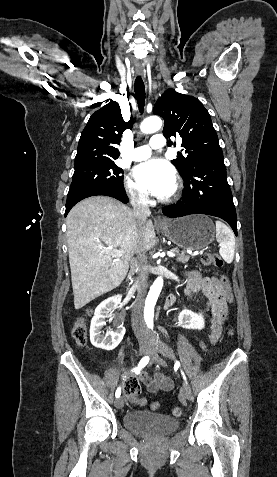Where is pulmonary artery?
Listing matches in <instances>:
<instances>
[{"label": "pulmonary artery", "mask_w": 277, "mask_h": 477, "mask_svg": "<svg viewBox=\"0 0 277 477\" xmlns=\"http://www.w3.org/2000/svg\"><path fill=\"white\" fill-rule=\"evenodd\" d=\"M165 146V139L162 135H153L149 145L140 146L134 149L132 157L135 161L145 160L150 157L151 149H158Z\"/></svg>", "instance_id": "obj_1"}]
</instances>
